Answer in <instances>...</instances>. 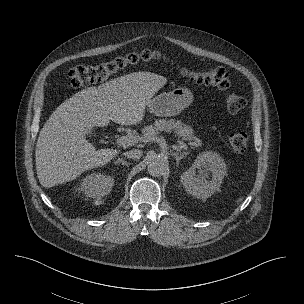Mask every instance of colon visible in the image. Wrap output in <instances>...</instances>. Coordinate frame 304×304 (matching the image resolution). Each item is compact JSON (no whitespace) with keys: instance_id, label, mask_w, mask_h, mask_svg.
<instances>
[{"instance_id":"5ec220e1","label":"colon","mask_w":304,"mask_h":304,"mask_svg":"<svg viewBox=\"0 0 304 304\" xmlns=\"http://www.w3.org/2000/svg\"><path fill=\"white\" fill-rule=\"evenodd\" d=\"M159 58L158 52L145 49L95 65L76 66L67 73L66 85L69 88H79L102 82L130 66ZM180 71L198 84L216 87L220 90H227L230 87L229 73L222 67L210 69L181 67ZM225 106L229 113L234 114L246 106V99L237 94H229L225 99ZM227 140L235 152L243 153L247 148L248 135L243 131H235L228 135Z\"/></svg>"}]
</instances>
